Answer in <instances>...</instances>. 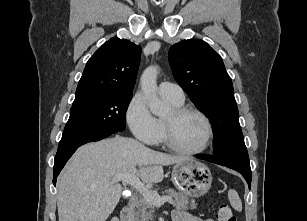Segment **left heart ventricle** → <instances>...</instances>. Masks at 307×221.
Listing matches in <instances>:
<instances>
[{"instance_id": "b2bd125f", "label": "left heart ventricle", "mask_w": 307, "mask_h": 221, "mask_svg": "<svg viewBox=\"0 0 307 221\" xmlns=\"http://www.w3.org/2000/svg\"><path fill=\"white\" fill-rule=\"evenodd\" d=\"M164 119L172 123L173 140L177 146L192 150L203 145L207 130L204 121L198 115L187 114L176 118L171 111Z\"/></svg>"}]
</instances>
